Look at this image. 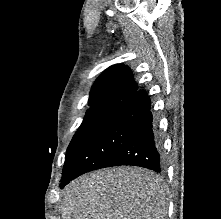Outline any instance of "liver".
Here are the masks:
<instances>
[{
  "label": "liver",
  "mask_w": 221,
  "mask_h": 219,
  "mask_svg": "<svg viewBox=\"0 0 221 219\" xmlns=\"http://www.w3.org/2000/svg\"><path fill=\"white\" fill-rule=\"evenodd\" d=\"M166 187L154 173L117 167L85 174L62 193L63 219H166Z\"/></svg>",
  "instance_id": "1"
}]
</instances>
